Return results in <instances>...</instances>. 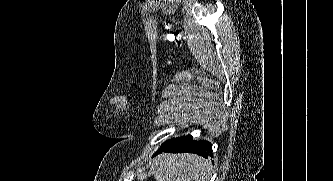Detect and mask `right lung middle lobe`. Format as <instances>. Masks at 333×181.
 Wrapping results in <instances>:
<instances>
[{
  "instance_id": "right-lung-middle-lobe-1",
  "label": "right lung middle lobe",
  "mask_w": 333,
  "mask_h": 181,
  "mask_svg": "<svg viewBox=\"0 0 333 181\" xmlns=\"http://www.w3.org/2000/svg\"><path fill=\"white\" fill-rule=\"evenodd\" d=\"M180 138H182V137L172 138L171 140L166 141L162 146H168V145H170V144L176 142V141L179 140Z\"/></svg>"
}]
</instances>
